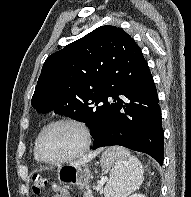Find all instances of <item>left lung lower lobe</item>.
Returning a JSON list of instances; mask_svg holds the SVG:
<instances>
[{
    "instance_id": "0a47b994",
    "label": "left lung lower lobe",
    "mask_w": 191,
    "mask_h": 197,
    "mask_svg": "<svg viewBox=\"0 0 191 197\" xmlns=\"http://www.w3.org/2000/svg\"><path fill=\"white\" fill-rule=\"evenodd\" d=\"M120 79L109 96L112 99L101 104L89 119L93 149L120 145L146 153L162 165L164 131L149 68L128 71Z\"/></svg>"
}]
</instances>
